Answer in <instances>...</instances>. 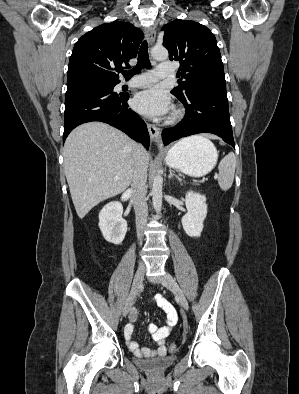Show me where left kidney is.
<instances>
[{
    "label": "left kidney",
    "mask_w": 299,
    "mask_h": 394,
    "mask_svg": "<svg viewBox=\"0 0 299 394\" xmlns=\"http://www.w3.org/2000/svg\"><path fill=\"white\" fill-rule=\"evenodd\" d=\"M187 213L182 217V226L190 237H200L203 230V221L207 215L206 197L199 193L189 191L185 196Z\"/></svg>",
    "instance_id": "1"
}]
</instances>
